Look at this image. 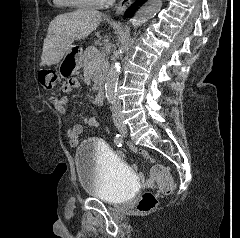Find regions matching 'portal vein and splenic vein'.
I'll return each instance as SVG.
<instances>
[{"mask_svg": "<svg viewBox=\"0 0 240 238\" xmlns=\"http://www.w3.org/2000/svg\"><path fill=\"white\" fill-rule=\"evenodd\" d=\"M96 61H97V62H100V59H99V58H97V59H96Z\"/></svg>", "mask_w": 240, "mask_h": 238, "instance_id": "1", "label": "portal vein and splenic vein"}]
</instances>
